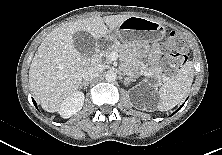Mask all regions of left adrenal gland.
I'll list each match as a JSON object with an SVG mask.
<instances>
[{
  "label": "left adrenal gland",
  "mask_w": 222,
  "mask_h": 155,
  "mask_svg": "<svg viewBox=\"0 0 222 155\" xmlns=\"http://www.w3.org/2000/svg\"><path fill=\"white\" fill-rule=\"evenodd\" d=\"M125 81L129 83V82L131 81V78L126 77V78H125Z\"/></svg>",
  "instance_id": "left-adrenal-gland-1"
}]
</instances>
